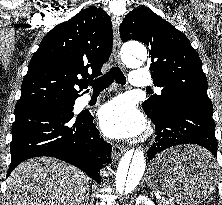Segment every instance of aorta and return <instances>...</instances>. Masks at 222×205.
<instances>
[{
    "label": "aorta",
    "mask_w": 222,
    "mask_h": 205,
    "mask_svg": "<svg viewBox=\"0 0 222 205\" xmlns=\"http://www.w3.org/2000/svg\"><path fill=\"white\" fill-rule=\"evenodd\" d=\"M122 58L128 66L138 67L147 59V50L141 43H127L123 47ZM145 167L146 159L141 149L130 150L122 157L113 184L117 198L129 195L137 189Z\"/></svg>",
    "instance_id": "obj_1"
}]
</instances>
